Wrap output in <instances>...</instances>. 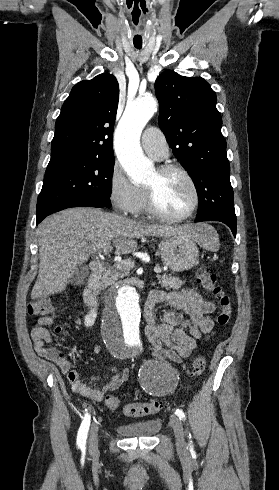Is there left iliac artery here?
<instances>
[{
    "mask_svg": "<svg viewBox=\"0 0 279 490\" xmlns=\"http://www.w3.org/2000/svg\"><path fill=\"white\" fill-rule=\"evenodd\" d=\"M175 414L180 418V420L185 418L184 412L182 410H180V409H177L175 411ZM189 436H190V434H189ZM190 448H191V450L193 449L191 445H190Z\"/></svg>",
    "mask_w": 279,
    "mask_h": 490,
    "instance_id": "left-iliac-artery-1",
    "label": "left iliac artery"
}]
</instances>
